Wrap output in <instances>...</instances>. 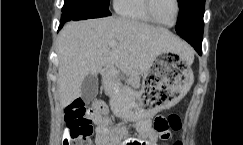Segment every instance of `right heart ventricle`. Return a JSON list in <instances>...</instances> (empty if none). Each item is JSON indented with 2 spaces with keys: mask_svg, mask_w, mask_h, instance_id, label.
Instances as JSON below:
<instances>
[{
  "mask_svg": "<svg viewBox=\"0 0 243 145\" xmlns=\"http://www.w3.org/2000/svg\"><path fill=\"white\" fill-rule=\"evenodd\" d=\"M116 12L128 20L153 24L145 8V0H114Z\"/></svg>",
  "mask_w": 243,
  "mask_h": 145,
  "instance_id": "obj_1",
  "label": "right heart ventricle"
}]
</instances>
